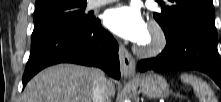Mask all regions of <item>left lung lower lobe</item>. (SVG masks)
<instances>
[{
	"label": "left lung lower lobe",
	"instance_id": "left-lung-lower-lobe-1",
	"mask_svg": "<svg viewBox=\"0 0 221 102\" xmlns=\"http://www.w3.org/2000/svg\"><path fill=\"white\" fill-rule=\"evenodd\" d=\"M166 42L165 49L156 58L138 63L139 71L199 70L208 74L221 87V61L216 38L187 26L166 37Z\"/></svg>",
	"mask_w": 221,
	"mask_h": 102
}]
</instances>
